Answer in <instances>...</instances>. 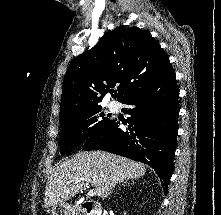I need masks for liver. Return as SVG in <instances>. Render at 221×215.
Here are the masks:
<instances>
[{"mask_svg": "<svg viewBox=\"0 0 221 215\" xmlns=\"http://www.w3.org/2000/svg\"><path fill=\"white\" fill-rule=\"evenodd\" d=\"M146 166L128 158L103 151L78 152L58 164L50 174L44 194V206L64 203L86 185L105 198L118 183L144 176Z\"/></svg>", "mask_w": 221, "mask_h": 215, "instance_id": "1", "label": "liver"}]
</instances>
